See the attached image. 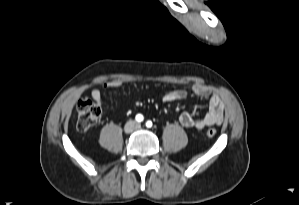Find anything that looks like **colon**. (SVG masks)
Listing matches in <instances>:
<instances>
[{"label":"colon","mask_w":299,"mask_h":205,"mask_svg":"<svg viewBox=\"0 0 299 205\" xmlns=\"http://www.w3.org/2000/svg\"><path fill=\"white\" fill-rule=\"evenodd\" d=\"M77 113V129L80 132L88 131L99 121L101 117L100 107L87 97H83L78 101ZM215 134L216 130L214 128H210L207 130V135L209 137H214Z\"/></svg>","instance_id":"1"}]
</instances>
